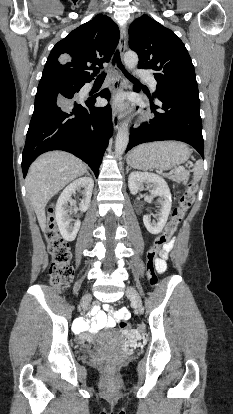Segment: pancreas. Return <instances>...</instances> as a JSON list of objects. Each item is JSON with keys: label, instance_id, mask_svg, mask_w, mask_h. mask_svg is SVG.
<instances>
[{"label": "pancreas", "instance_id": "obj_1", "mask_svg": "<svg viewBox=\"0 0 233 414\" xmlns=\"http://www.w3.org/2000/svg\"><path fill=\"white\" fill-rule=\"evenodd\" d=\"M170 178L177 181V182H181V181H184L188 178V173L186 171H181V172H178L175 175L171 176Z\"/></svg>", "mask_w": 233, "mask_h": 414}]
</instances>
